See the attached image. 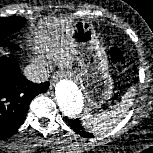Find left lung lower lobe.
<instances>
[{
  "instance_id": "left-lung-lower-lobe-1",
  "label": "left lung lower lobe",
  "mask_w": 153,
  "mask_h": 153,
  "mask_svg": "<svg viewBox=\"0 0 153 153\" xmlns=\"http://www.w3.org/2000/svg\"><path fill=\"white\" fill-rule=\"evenodd\" d=\"M70 127L78 134L84 136V137H93L92 133L85 132L84 128L81 125V122L79 119L70 120L69 122Z\"/></svg>"
}]
</instances>
